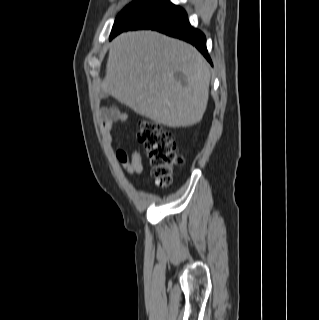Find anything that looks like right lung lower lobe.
<instances>
[{"instance_id": "right-lung-lower-lobe-1", "label": "right lung lower lobe", "mask_w": 319, "mask_h": 320, "mask_svg": "<svg viewBox=\"0 0 319 320\" xmlns=\"http://www.w3.org/2000/svg\"><path fill=\"white\" fill-rule=\"evenodd\" d=\"M154 29L167 35L183 39L193 44L211 63L206 49V38L204 34L191 27L186 12L175 5L171 8L149 16L138 24L124 29L112 30L110 39L126 30Z\"/></svg>"}]
</instances>
